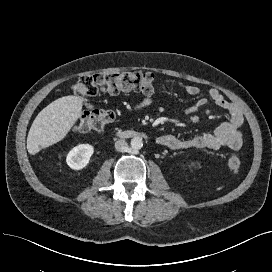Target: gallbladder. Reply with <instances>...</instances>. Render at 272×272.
Segmentation results:
<instances>
[{"label":"gallbladder","instance_id":"1","mask_svg":"<svg viewBox=\"0 0 272 272\" xmlns=\"http://www.w3.org/2000/svg\"><path fill=\"white\" fill-rule=\"evenodd\" d=\"M86 107H87L88 109H91V108H92V105L88 104Z\"/></svg>","mask_w":272,"mask_h":272}]
</instances>
